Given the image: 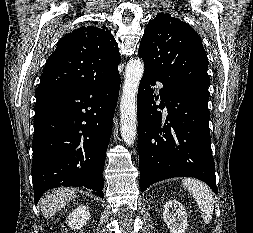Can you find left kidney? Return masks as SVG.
Returning <instances> with one entry per match:
<instances>
[{"instance_id":"1","label":"left kidney","mask_w":253,"mask_h":233,"mask_svg":"<svg viewBox=\"0 0 253 233\" xmlns=\"http://www.w3.org/2000/svg\"><path fill=\"white\" fill-rule=\"evenodd\" d=\"M163 220L171 233H185L188 227L185 208L175 199L168 200L165 203Z\"/></svg>"}]
</instances>
